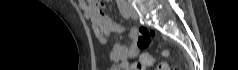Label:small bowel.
<instances>
[{"label":"small bowel","instance_id":"c3829d8e","mask_svg":"<svg viewBox=\"0 0 238 70\" xmlns=\"http://www.w3.org/2000/svg\"><path fill=\"white\" fill-rule=\"evenodd\" d=\"M78 4L84 12V17L92 22L94 32L101 44H107L111 35H115L120 39L124 34L127 35L130 43L125 44L121 40L115 42L109 52V56L116 64V67H120L123 70H131L132 66L128 62V59L137 56L140 50L137 45V29L134 27L126 29L120 26L104 13L101 2L95 3L86 0H78ZM146 57L148 56L143 54L141 60Z\"/></svg>","mask_w":238,"mask_h":70}]
</instances>
